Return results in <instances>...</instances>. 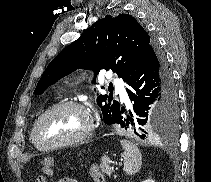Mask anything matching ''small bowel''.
I'll list each match as a JSON object with an SVG mask.
<instances>
[{
	"instance_id": "c3829d8e",
	"label": "small bowel",
	"mask_w": 211,
	"mask_h": 182,
	"mask_svg": "<svg viewBox=\"0 0 211 182\" xmlns=\"http://www.w3.org/2000/svg\"><path fill=\"white\" fill-rule=\"evenodd\" d=\"M59 182H77V181L74 179H63V180H60Z\"/></svg>"
}]
</instances>
